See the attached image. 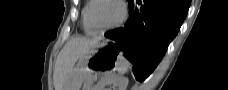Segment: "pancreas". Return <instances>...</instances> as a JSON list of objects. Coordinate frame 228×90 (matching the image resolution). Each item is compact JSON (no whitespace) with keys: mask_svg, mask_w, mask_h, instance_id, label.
Here are the masks:
<instances>
[{"mask_svg":"<svg viewBox=\"0 0 228 90\" xmlns=\"http://www.w3.org/2000/svg\"><path fill=\"white\" fill-rule=\"evenodd\" d=\"M94 76L93 75H90L87 77V79L85 80L84 82V85H83V90H92L93 88V83H94Z\"/></svg>","mask_w":228,"mask_h":90,"instance_id":"pancreas-1","label":"pancreas"}]
</instances>
